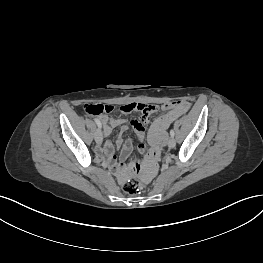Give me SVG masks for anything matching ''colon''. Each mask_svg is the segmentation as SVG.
Wrapping results in <instances>:
<instances>
[{
    "instance_id": "1",
    "label": "colon",
    "mask_w": 263,
    "mask_h": 263,
    "mask_svg": "<svg viewBox=\"0 0 263 263\" xmlns=\"http://www.w3.org/2000/svg\"><path fill=\"white\" fill-rule=\"evenodd\" d=\"M171 103L176 104L177 110H179L181 113L186 112L189 108V105L186 101H175ZM163 106H166V103H163V105H157L156 108V106L151 102L138 103L134 101H127L125 103L119 104L116 108V111L128 117H132L134 116V114L151 115L156 113V111H158V108H163ZM112 109V106L104 104H89L85 106V112L88 115H101L103 113L110 112ZM147 187V183L138 182L134 179L124 182L121 186L123 192L127 194H135L139 191L140 188L145 189Z\"/></svg>"
}]
</instances>
